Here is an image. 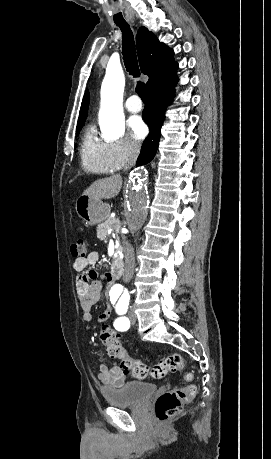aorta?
I'll return each mask as SVG.
<instances>
[{
    "instance_id": "aorta-1",
    "label": "aorta",
    "mask_w": 271,
    "mask_h": 459,
    "mask_svg": "<svg viewBox=\"0 0 271 459\" xmlns=\"http://www.w3.org/2000/svg\"><path fill=\"white\" fill-rule=\"evenodd\" d=\"M125 79L122 70H109L101 87L99 115L102 132L111 139H118L125 130L123 92ZM148 172L141 167L131 172L123 202L128 230L138 232L147 219L149 211ZM119 289L118 285L114 286Z\"/></svg>"
}]
</instances>
